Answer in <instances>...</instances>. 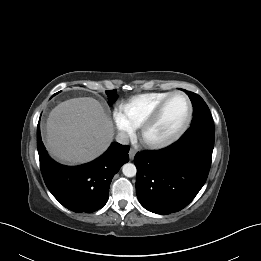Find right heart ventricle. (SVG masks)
<instances>
[{
    "label": "right heart ventricle",
    "mask_w": 261,
    "mask_h": 261,
    "mask_svg": "<svg viewBox=\"0 0 261 261\" xmlns=\"http://www.w3.org/2000/svg\"><path fill=\"white\" fill-rule=\"evenodd\" d=\"M169 93L151 92L133 96L120 105V111L133 129L139 128Z\"/></svg>",
    "instance_id": "right-heart-ventricle-1"
}]
</instances>
